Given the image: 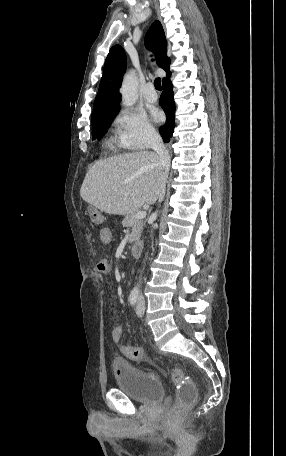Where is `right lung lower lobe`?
<instances>
[{
  "mask_svg": "<svg viewBox=\"0 0 286 456\" xmlns=\"http://www.w3.org/2000/svg\"><path fill=\"white\" fill-rule=\"evenodd\" d=\"M162 86L163 93L160 97V105L167 115V122L160 128V133L164 142L166 143L170 141V137H172V134L174 132L175 103L173 100V85L170 79L168 78L166 81L162 82Z\"/></svg>",
  "mask_w": 286,
  "mask_h": 456,
  "instance_id": "98d812e1",
  "label": "right lung lower lobe"
}]
</instances>
